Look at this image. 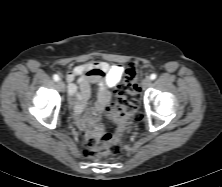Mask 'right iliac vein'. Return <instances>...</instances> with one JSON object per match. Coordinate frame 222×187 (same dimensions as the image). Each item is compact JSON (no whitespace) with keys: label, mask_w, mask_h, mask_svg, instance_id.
<instances>
[{"label":"right iliac vein","mask_w":222,"mask_h":187,"mask_svg":"<svg viewBox=\"0 0 222 187\" xmlns=\"http://www.w3.org/2000/svg\"><path fill=\"white\" fill-rule=\"evenodd\" d=\"M58 87L62 92L65 91V83L62 80L58 81Z\"/></svg>","instance_id":"obj_1"}]
</instances>
